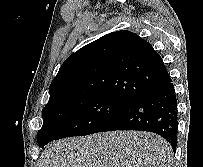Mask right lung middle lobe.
I'll return each mask as SVG.
<instances>
[{"label":"right lung middle lobe","instance_id":"right-lung-middle-lobe-1","mask_svg":"<svg viewBox=\"0 0 203 167\" xmlns=\"http://www.w3.org/2000/svg\"><path fill=\"white\" fill-rule=\"evenodd\" d=\"M129 103L115 96L91 95L44 109L37 142L43 147L53 140L93 134Z\"/></svg>","mask_w":203,"mask_h":167}]
</instances>
